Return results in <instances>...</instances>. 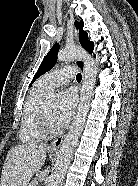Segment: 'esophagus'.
<instances>
[{"instance_id":"obj_1","label":"esophagus","mask_w":138,"mask_h":186,"mask_svg":"<svg viewBox=\"0 0 138 186\" xmlns=\"http://www.w3.org/2000/svg\"><path fill=\"white\" fill-rule=\"evenodd\" d=\"M76 64H77L83 71L85 70V63H84L83 60L78 59V60L76 61ZM63 140H64V136H59V137H57V138L50 144V148H51V149H58V148L61 146Z\"/></svg>"}]
</instances>
